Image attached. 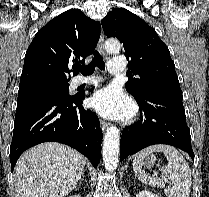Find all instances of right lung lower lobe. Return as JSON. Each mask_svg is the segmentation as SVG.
I'll return each mask as SVG.
<instances>
[{"instance_id":"98d812e1","label":"right lung lower lobe","mask_w":209,"mask_h":197,"mask_svg":"<svg viewBox=\"0 0 209 197\" xmlns=\"http://www.w3.org/2000/svg\"><path fill=\"white\" fill-rule=\"evenodd\" d=\"M85 93L46 97L17 105L10 146L11 169L28 148L48 141L69 145L97 167L103 138L97 115L84 109Z\"/></svg>"}]
</instances>
